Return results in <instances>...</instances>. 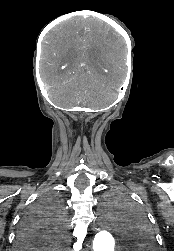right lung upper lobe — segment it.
Wrapping results in <instances>:
<instances>
[{"label":"right lung upper lobe","instance_id":"1","mask_svg":"<svg viewBox=\"0 0 174 251\" xmlns=\"http://www.w3.org/2000/svg\"><path fill=\"white\" fill-rule=\"evenodd\" d=\"M46 248H52L50 246H45V247H33V249H39V250H43V249H46Z\"/></svg>","mask_w":174,"mask_h":251}]
</instances>
